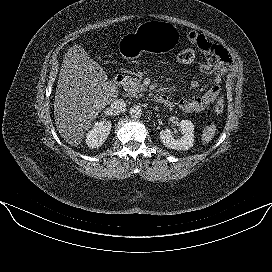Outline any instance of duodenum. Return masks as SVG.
Here are the masks:
<instances>
[{
  "mask_svg": "<svg viewBox=\"0 0 272 272\" xmlns=\"http://www.w3.org/2000/svg\"><path fill=\"white\" fill-rule=\"evenodd\" d=\"M125 81H126V77L124 74H118L115 77V83L118 86H121ZM153 100L163 105H169L171 103L170 97L164 94H155L153 96Z\"/></svg>",
  "mask_w": 272,
  "mask_h": 272,
  "instance_id": "1",
  "label": "duodenum"
}]
</instances>
